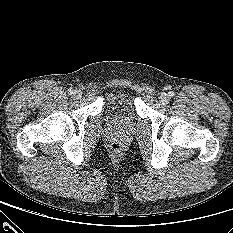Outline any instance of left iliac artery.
<instances>
[{
	"label": "left iliac artery",
	"instance_id": "44dca946",
	"mask_svg": "<svg viewBox=\"0 0 233 233\" xmlns=\"http://www.w3.org/2000/svg\"><path fill=\"white\" fill-rule=\"evenodd\" d=\"M168 95H169L170 97H173L175 94H174L173 91H170V92L168 93Z\"/></svg>",
	"mask_w": 233,
	"mask_h": 233
}]
</instances>
